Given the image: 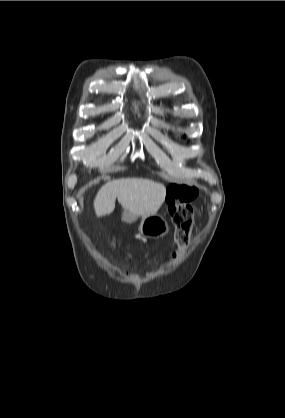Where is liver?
Listing matches in <instances>:
<instances>
[{
    "instance_id": "obj_1",
    "label": "liver",
    "mask_w": 285,
    "mask_h": 418,
    "mask_svg": "<svg viewBox=\"0 0 285 418\" xmlns=\"http://www.w3.org/2000/svg\"><path fill=\"white\" fill-rule=\"evenodd\" d=\"M166 188L163 184L143 178H123L103 185L95 199L97 216H105L115 209L116 198L125 211L134 216L157 213L165 201Z\"/></svg>"
}]
</instances>
